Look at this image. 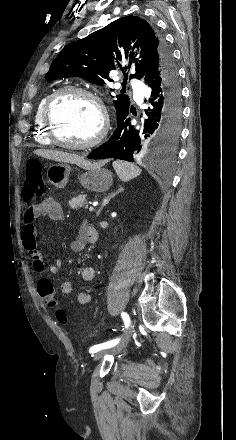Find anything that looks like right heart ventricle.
<instances>
[{
	"label": "right heart ventricle",
	"mask_w": 236,
	"mask_h": 440,
	"mask_svg": "<svg viewBox=\"0 0 236 440\" xmlns=\"http://www.w3.org/2000/svg\"><path fill=\"white\" fill-rule=\"evenodd\" d=\"M51 94L52 93L46 94L44 97L41 98L34 112V127H33L34 140L38 144L46 145V146L52 145V142L48 138L45 129L43 127L42 112L44 105Z\"/></svg>",
	"instance_id": "right-heart-ventricle-1"
}]
</instances>
